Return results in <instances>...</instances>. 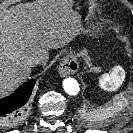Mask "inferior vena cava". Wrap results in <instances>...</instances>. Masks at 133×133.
Here are the masks:
<instances>
[{
    "mask_svg": "<svg viewBox=\"0 0 133 133\" xmlns=\"http://www.w3.org/2000/svg\"><path fill=\"white\" fill-rule=\"evenodd\" d=\"M45 58H46L45 55L42 52H39L36 55H33L30 58H28L27 64L30 67H32V66L38 65L41 62H43L45 60Z\"/></svg>",
    "mask_w": 133,
    "mask_h": 133,
    "instance_id": "inferior-vena-cava-1",
    "label": "inferior vena cava"
}]
</instances>
